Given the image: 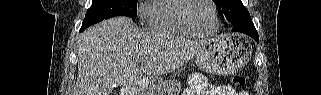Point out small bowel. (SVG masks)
I'll return each mask as SVG.
<instances>
[{
    "mask_svg": "<svg viewBox=\"0 0 321 95\" xmlns=\"http://www.w3.org/2000/svg\"><path fill=\"white\" fill-rule=\"evenodd\" d=\"M199 93H187V95H197ZM202 95H235L233 89L226 85H214L208 84L205 87V91L200 93Z\"/></svg>",
    "mask_w": 321,
    "mask_h": 95,
    "instance_id": "1",
    "label": "small bowel"
}]
</instances>
